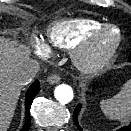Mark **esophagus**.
Here are the masks:
<instances>
[{"label":"esophagus","instance_id":"esophagus-1","mask_svg":"<svg viewBox=\"0 0 131 131\" xmlns=\"http://www.w3.org/2000/svg\"><path fill=\"white\" fill-rule=\"evenodd\" d=\"M61 77L58 74H52L47 78L49 84H56L60 81Z\"/></svg>","mask_w":131,"mask_h":131}]
</instances>
